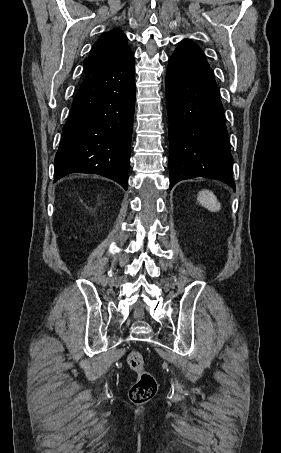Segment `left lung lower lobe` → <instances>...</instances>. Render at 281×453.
Instances as JSON below:
<instances>
[{"mask_svg": "<svg viewBox=\"0 0 281 453\" xmlns=\"http://www.w3.org/2000/svg\"><path fill=\"white\" fill-rule=\"evenodd\" d=\"M170 189L194 177L220 180L235 190L228 133L219 90L203 51L183 40L169 59Z\"/></svg>", "mask_w": 281, "mask_h": 453, "instance_id": "1", "label": "left lung lower lobe"}]
</instances>
